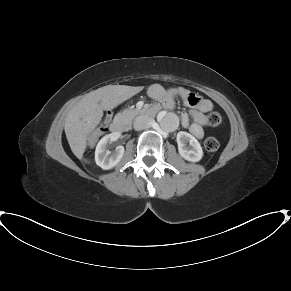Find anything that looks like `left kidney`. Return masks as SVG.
<instances>
[{
  "mask_svg": "<svg viewBox=\"0 0 291 291\" xmlns=\"http://www.w3.org/2000/svg\"><path fill=\"white\" fill-rule=\"evenodd\" d=\"M176 141L178 151L182 158L190 162H198L203 157V150L198 140L191 134L180 131L177 134Z\"/></svg>",
  "mask_w": 291,
  "mask_h": 291,
  "instance_id": "5707ae66",
  "label": "left kidney"
}]
</instances>
